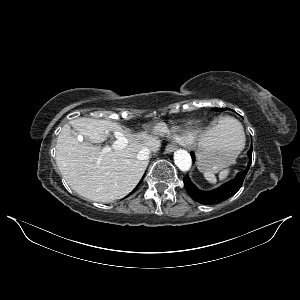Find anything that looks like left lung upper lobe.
<instances>
[{"instance_id": "left-lung-upper-lobe-1", "label": "left lung upper lobe", "mask_w": 300, "mask_h": 300, "mask_svg": "<svg viewBox=\"0 0 300 300\" xmlns=\"http://www.w3.org/2000/svg\"><path fill=\"white\" fill-rule=\"evenodd\" d=\"M214 110L215 111H223L224 109L223 108H215Z\"/></svg>"}]
</instances>
